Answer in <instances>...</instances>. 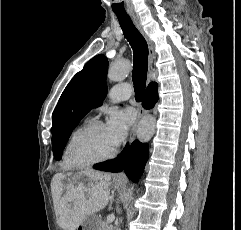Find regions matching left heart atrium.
I'll use <instances>...</instances> for the list:
<instances>
[{
    "label": "left heart atrium",
    "mask_w": 241,
    "mask_h": 230,
    "mask_svg": "<svg viewBox=\"0 0 241 230\" xmlns=\"http://www.w3.org/2000/svg\"><path fill=\"white\" fill-rule=\"evenodd\" d=\"M133 123L131 111H115L106 124V132L112 145L118 147L126 138L129 127Z\"/></svg>",
    "instance_id": "obj_1"
}]
</instances>
